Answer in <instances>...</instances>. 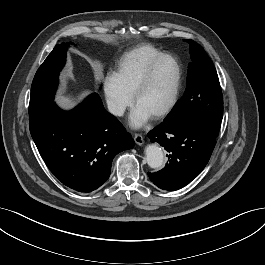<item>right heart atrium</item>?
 Listing matches in <instances>:
<instances>
[{
  "label": "right heart atrium",
  "mask_w": 265,
  "mask_h": 265,
  "mask_svg": "<svg viewBox=\"0 0 265 265\" xmlns=\"http://www.w3.org/2000/svg\"><path fill=\"white\" fill-rule=\"evenodd\" d=\"M103 92L110 113L116 117L122 116L131 105V96L121 89L112 74L104 78Z\"/></svg>",
  "instance_id": "d8ad5b80"
}]
</instances>
